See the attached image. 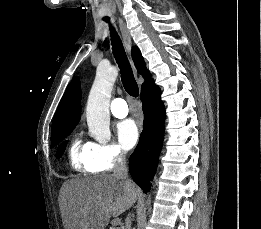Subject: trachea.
I'll use <instances>...</instances> for the list:
<instances>
[{
    "label": "trachea",
    "instance_id": "3493384b",
    "mask_svg": "<svg viewBox=\"0 0 261 229\" xmlns=\"http://www.w3.org/2000/svg\"><path fill=\"white\" fill-rule=\"evenodd\" d=\"M103 20L109 23L113 55L120 68L123 87L129 95L137 97L139 95V87L128 62L122 41L113 25L110 23V18L104 17Z\"/></svg>",
    "mask_w": 261,
    "mask_h": 229
}]
</instances>
